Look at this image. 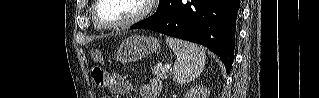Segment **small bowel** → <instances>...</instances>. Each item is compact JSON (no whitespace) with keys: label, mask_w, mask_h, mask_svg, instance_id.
<instances>
[{"label":"small bowel","mask_w":319,"mask_h":98,"mask_svg":"<svg viewBox=\"0 0 319 98\" xmlns=\"http://www.w3.org/2000/svg\"><path fill=\"white\" fill-rule=\"evenodd\" d=\"M109 84L120 94H128L137 89L138 98H157V93L161 89V84L157 80H153L150 85L141 84L134 86L131 82L116 75L110 78Z\"/></svg>","instance_id":"obj_1"}]
</instances>
